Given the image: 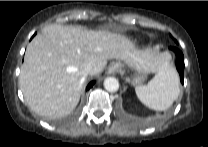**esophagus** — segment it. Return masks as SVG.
I'll return each mask as SVG.
<instances>
[{
    "mask_svg": "<svg viewBox=\"0 0 208 147\" xmlns=\"http://www.w3.org/2000/svg\"><path fill=\"white\" fill-rule=\"evenodd\" d=\"M118 68H119L118 65L117 64H114V65H112L110 67L109 72L110 73H114V72H116L118 70Z\"/></svg>",
    "mask_w": 208,
    "mask_h": 147,
    "instance_id": "obj_1",
    "label": "esophagus"
}]
</instances>
